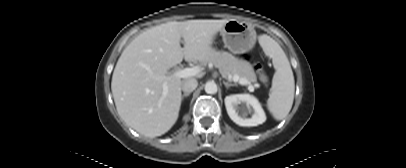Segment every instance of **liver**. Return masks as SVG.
<instances>
[{
	"label": "liver",
	"instance_id": "liver-1",
	"mask_svg": "<svg viewBox=\"0 0 406 168\" xmlns=\"http://www.w3.org/2000/svg\"><path fill=\"white\" fill-rule=\"evenodd\" d=\"M228 20L172 21L139 34L122 52L115 66L111 90L120 118L147 137L161 136L179 116L182 82L167 71L183 58L203 61L213 53L214 36ZM183 38L184 47L180 46ZM200 78L202 73L195 75ZM168 93L163 95V84Z\"/></svg>",
	"mask_w": 406,
	"mask_h": 168
}]
</instances>
